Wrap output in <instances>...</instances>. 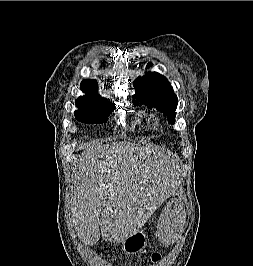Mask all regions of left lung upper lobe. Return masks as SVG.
<instances>
[{"mask_svg":"<svg viewBox=\"0 0 253 266\" xmlns=\"http://www.w3.org/2000/svg\"><path fill=\"white\" fill-rule=\"evenodd\" d=\"M151 66V63L147 64V68ZM133 85L136 92L133 95L136 99V104L142 103L149 108H156L162 111L167 115L169 123L174 124L178 99L165 76L150 72L149 75L138 77L133 82Z\"/></svg>","mask_w":253,"mask_h":266,"instance_id":"1","label":"left lung upper lobe"}]
</instances>
